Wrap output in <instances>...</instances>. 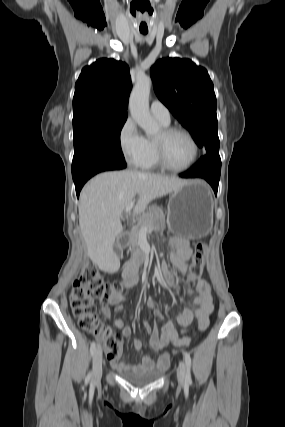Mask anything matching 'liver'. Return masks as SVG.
<instances>
[{
	"mask_svg": "<svg viewBox=\"0 0 285 427\" xmlns=\"http://www.w3.org/2000/svg\"><path fill=\"white\" fill-rule=\"evenodd\" d=\"M187 182L136 170L105 172L92 178L82 189L78 206L79 225L92 262L104 268L117 260L113 245L123 231V211L136 196L134 212L141 213L152 200Z\"/></svg>",
	"mask_w": 285,
	"mask_h": 427,
	"instance_id": "liver-1",
	"label": "liver"
}]
</instances>
